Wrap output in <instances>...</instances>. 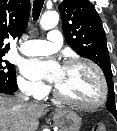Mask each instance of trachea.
Listing matches in <instances>:
<instances>
[{"mask_svg":"<svg viewBox=\"0 0 117 131\" xmlns=\"http://www.w3.org/2000/svg\"><path fill=\"white\" fill-rule=\"evenodd\" d=\"M43 4H44V0H34V3H33V18H34V21H37L39 15H40Z\"/></svg>","mask_w":117,"mask_h":131,"instance_id":"obj_1","label":"trachea"}]
</instances>
